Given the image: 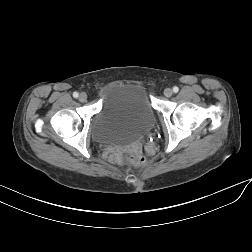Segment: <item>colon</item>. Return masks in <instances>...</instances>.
<instances>
[{
    "instance_id": "1",
    "label": "colon",
    "mask_w": 252,
    "mask_h": 252,
    "mask_svg": "<svg viewBox=\"0 0 252 252\" xmlns=\"http://www.w3.org/2000/svg\"><path fill=\"white\" fill-rule=\"evenodd\" d=\"M128 162L134 166H141L145 164L146 158L142 154L136 153L128 158Z\"/></svg>"
}]
</instances>
